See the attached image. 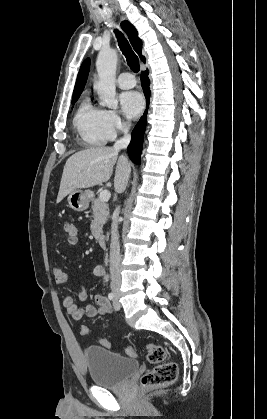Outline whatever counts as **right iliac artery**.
Segmentation results:
<instances>
[{
  "label": "right iliac artery",
  "instance_id": "obj_1",
  "mask_svg": "<svg viewBox=\"0 0 267 419\" xmlns=\"http://www.w3.org/2000/svg\"><path fill=\"white\" fill-rule=\"evenodd\" d=\"M108 298H109V300H113L114 299V294L113 293H109L108 294Z\"/></svg>",
  "mask_w": 267,
  "mask_h": 419
}]
</instances>
